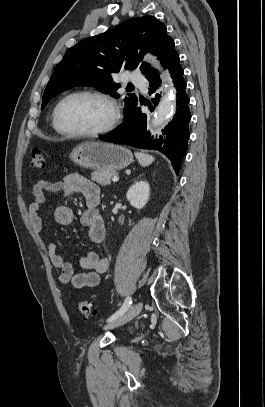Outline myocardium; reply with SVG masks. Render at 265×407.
I'll use <instances>...</instances> for the list:
<instances>
[{"label": "myocardium", "mask_w": 265, "mask_h": 407, "mask_svg": "<svg viewBox=\"0 0 265 407\" xmlns=\"http://www.w3.org/2000/svg\"><path fill=\"white\" fill-rule=\"evenodd\" d=\"M76 96H88L92 98H96L102 102H104L111 111V116L109 122L102 128L90 131V132H74L68 131L64 129L60 122V110L62 105L70 98ZM119 119V109L116 102L109 97L108 95L93 91V90H77L65 95L56 105L54 112H53V123L55 129L63 136L70 137V138H95L111 132L117 125Z\"/></svg>", "instance_id": "f54148a6"}]
</instances>
